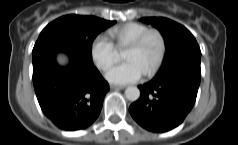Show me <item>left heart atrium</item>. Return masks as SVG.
Here are the masks:
<instances>
[{
	"mask_svg": "<svg viewBox=\"0 0 238 145\" xmlns=\"http://www.w3.org/2000/svg\"><path fill=\"white\" fill-rule=\"evenodd\" d=\"M144 72L133 60L114 65L106 72L108 81L117 84H126L139 80Z\"/></svg>",
	"mask_w": 238,
	"mask_h": 145,
	"instance_id": "1",
	"label": "left heart atrium"
}]
</instances>
